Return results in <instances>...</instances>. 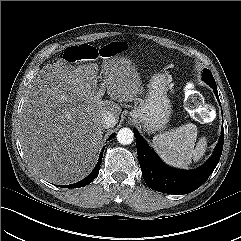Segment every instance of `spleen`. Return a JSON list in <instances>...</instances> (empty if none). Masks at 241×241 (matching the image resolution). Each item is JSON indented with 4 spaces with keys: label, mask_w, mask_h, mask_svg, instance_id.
Segmentation results:
<instances>
[{
    "label": "spleen",
    "mask_w": 241,
    "mask_h": 241,
    "mask_svg": "<svg viewBox=\"0 0 241 241\" xmlns=\"http://www.w3.org/2000/svg\"><path fill=\"white\" fill-rule=\"evenodd\" d=\"M196 138V125L188 123L154 136L153 145L166 164L187 169L192 161L198 162L206 151V138L201 137L195 144Z\"/></svg>",
    "instance_id": "obj_1"
}]
</instances>
